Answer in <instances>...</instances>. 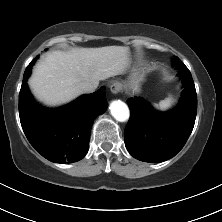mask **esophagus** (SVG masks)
<instances>
[{
	"label": "esophagus",
	"mask_w": 222,
	"mask_h": 222,
	"mask_svg": "<svg viewBox=\"0 0 222 222\" xmlns=\"http://www.w3.org/2000/svg\"><path fill=\"white\" fill-rule=\"evenodd\" d=\"M110 90L113 94H118L121 91V85L115 82L110 86Z\"/></svg>",
	"instance_id": "1"
}]
</instances>
